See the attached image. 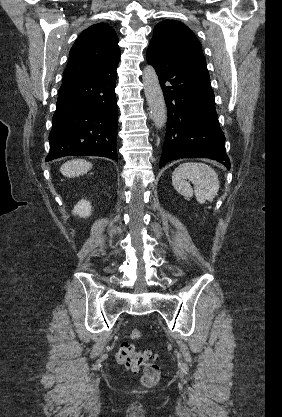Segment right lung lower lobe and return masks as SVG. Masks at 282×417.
<instances>
[{"instance_id":"1","label":"right lung lower lobe","mask_w":282,"mask_h":417,"mask_svg":"<svg viewBox=\"0 0 282 417\" xmlns=\"http://www.w3.org/2000/svg\"><path fill=\"white\" fill-rule=\"evenodd\" d=\"M117 65L63 81L46 162L68 155L102 156L118 161Z\"/></svg>"}]
</instances>
